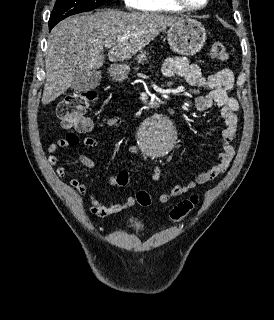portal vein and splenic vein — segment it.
<instances>
[{"mask_svg":"<svg viewBox=\"0 0 274 320\" xmlns=\"http://www.w3.org/2000/svg\"><path fill=\"white\" fill-rule=\"evenodd\" d=\"M105 48H112V42H108V44H105Z\"/></svg>","mask_w":274,"mask_h":320,"instance_id":"obj_1","label":"portal vein and splenic vein"}]
</instances>
